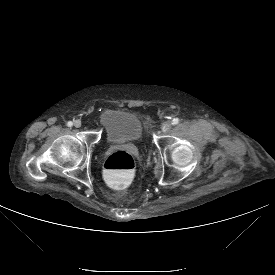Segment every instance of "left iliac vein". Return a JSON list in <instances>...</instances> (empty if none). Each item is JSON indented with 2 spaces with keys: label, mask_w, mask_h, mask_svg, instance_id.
Segmentation results:
<instances>
[{
  "label": "left iliac vein",
  "mask_w": 275,
  "mask_h": 275,
  "mask_svg": "<svg viewBox=\"0 0 275 275\" xmlns=\"http://www.w3.org/2000/svg\"><path fill=\"white\" fill-rule=\"evenodd\" d=\"M171 128V123L169 121H166L162 124L161 129L163 132H168Z\"/></svg>",
  "instance_id": "obj_1"
}]
</instances>
